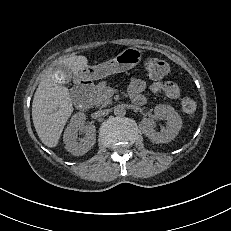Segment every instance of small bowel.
Masks as SVG:
<instances>
[{
  "mask_svg": "<svg viewBox=\"0 0 231 231\" xmlns=\"http://www.w3.org/2000/svg\"><path fill=\"white\" fill-rule=\"evenodd\" d=\"M148 88L147 82L139 77H134L131 79L129 84V93L132 100L136 103L144 102V97L142 92ZM149 89L153 93H163L170 99H177L180 95L179 86L172 81H155L150 86Z\"/></svg>",
  "mask_w": 231,
  "mask_h": 231,
  "instance_id": "c3829d8e",
  "label": "small bowel"
}]
</instances>
